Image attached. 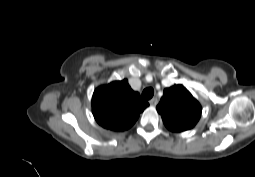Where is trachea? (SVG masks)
I'll return each mask as SVG.
<instances>
[{"mask_svg":"<svg viewBox=\"0 0 255 177\" xmlns=\"http://www.w3.org/2000/svg\"><path fill=\"white\" fill-rule=\"evenodd\" d=\"M153 95H154V90L151 87H148V88L144 89L143 92H142V98L144 100L151 99L153 97Z\"/></svg>","mask_w":255,"mask_h":177,"instance_id":"trachea-1","label":"trachea"}]
</instances>
